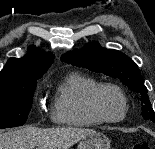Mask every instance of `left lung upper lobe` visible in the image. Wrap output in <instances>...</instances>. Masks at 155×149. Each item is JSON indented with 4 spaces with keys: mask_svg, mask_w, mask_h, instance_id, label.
Wrapping results in <instances>:
<instances>
[{
    "mask_svg": "<svg viewBox=\"0 0 155 149\" xmlns=\"http://www.w3.org/2000/svg\"><path fill=\"white\" fill-rule=\"evenodd\" d=\"M61 60L94 72L116 77L123 84L141 97L142 116L155 123V113L148 97L140 70L134 61L122 52L103 49L99 44H87L82 49H75L62 55Z\"/></svg>",
    "mask_w": 155,
    "mask_h": 149,
    "instance_id": "obj_1",
    "label": "left lung upper lobe"
}]
</instances>
